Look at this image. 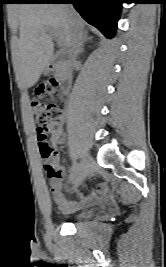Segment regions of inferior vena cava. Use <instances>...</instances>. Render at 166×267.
<instances>
[{"mask_svg":"<svg viewBox=\"0 0 166 267\" xmlns=\"http://www.w3.org/2000/svg\"><path fill=\"white\" fill-rule=\"evenodd\" d=\"M70 12L72 11L71 5L65 6ZM83 32L80 25L74 20L70 21L69 26V49L73 59H75L82 51Z\"/></svg>","mask_w":166,"mask_h":267,"instance_id":"obj_1","label":"inferior vena cava"}]
</instances>
